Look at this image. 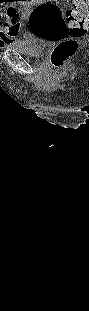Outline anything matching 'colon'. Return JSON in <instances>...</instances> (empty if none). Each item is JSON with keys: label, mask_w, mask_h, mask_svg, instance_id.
I'll return each instance as SVG.
<instances>
[{"label": "colon", "mask_w": 89, "mask_h": 311, "mask_svg": "<svg viewBox=\"0 0 89 311\" xmlns=\"http://www.w3.org/2000/svg\"><path fill=\"white\" fill-rule=\"evenodd\" d=\"M17 11L9 8L2 12L0 23L7 29L17 28ZM89 14L84 0H74V8H64L60 0H47L34 8L29 20L33 34L56 43L51 61L61 65L78 48L77 39L86 34Z\"/></svg>", "instance_id": "1"}]
</instances>
